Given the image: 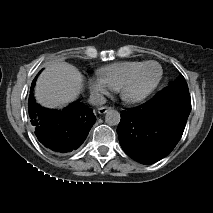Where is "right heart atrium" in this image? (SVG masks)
<instances>
[{
    "instance_id": "obj_1",
    "label": "right heart atrium",
    "mask_w": 213,
    "mask_h": 213,
    "mask_svg": "<svg viewBox=\"0 0 213 213\" xmlns=\"http://www.w3.org/2000/svg\"><path fill=\"white\" fill-rule=\"evenodd\" d=\"M88 87L90 89V92L96 98H100L108 94V92L112 90L107 84V82L100 76L90 78L88 80Z\"/></svg>"
}]
</instances>
